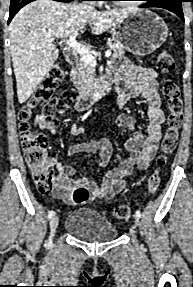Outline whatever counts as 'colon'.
<instances>
[{
  "label": "colon",
  "instance_id": "5ec220e1",
  "mask_svg": "<svg viewBox=\"0 0 193 287\" xmlns=\"http://www.w3.org/2000/svg\"><path fill=\"white\" fill-rule=\"evenodd\" d=\"M156 67L162 74H168L174 70L175 62L168 50H161L156 57ZM64 72L59 64H54L46 72L33 98L19 112L21 145L31 173L34 185L39 193H50L54 187L55 174L48 161L47 137L35 132L30 127L32 109L39 107L41 114L50 118L53 124L58 125L54 115L64 113L72 104L77 93L73 89L65 90L58 97L53 96V91L63 79ZM162 94L168 107L167 129L160 144V152L156 160V168L149 176L147 183V196L156 192L160 184V171L167 162V158L175 151L179 138V131L183 122L182 99L179 86L171 79H166L162 85ZM90 192L84 187L75 188L72 192V201L76 204L86 202ZM131 214V208L120 205L114 209V216L118 219H127Z\"/></svg>",
  "mask_w": 193,
  "mask_h": 287
}]
</instances>
